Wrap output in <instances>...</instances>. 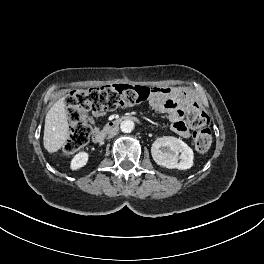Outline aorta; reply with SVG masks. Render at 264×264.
<instances>
[{"label": "aorta", "instance_id": "aorta-1", "mask_svg": "<svg viewBox=\"0 0 264 264\" xmlns=\"http://www.w3.org/2000/svg\"><path fill=\"white\" fill-rule=\"evenodd\" d=\"M134 122L132 120H124L120 124V129L123 133H130L134 129Z\"/></svg>", "mask_w": 264, "mask_h": 264}]
</instances>
